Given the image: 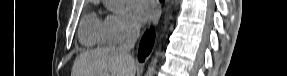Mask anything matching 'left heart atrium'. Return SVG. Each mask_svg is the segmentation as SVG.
<instances>
[{
  "label": "left heart atrium",
  "instance_id": "1",
  "mask_svg": "<svg viewBox=\"0 0 287 76\" xmlns=\"http://www.w3.org/2000/svg\"><path fill=\"white\" fill-rule=\"evenodd\" d=\"M130 7L139 21H148L156 14V4L153 0H131Z\"/></svg>",
  "mask_w": 287,
  "mask_h": 76
}]
</instances>
